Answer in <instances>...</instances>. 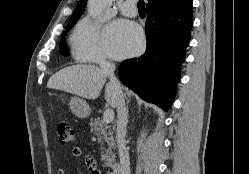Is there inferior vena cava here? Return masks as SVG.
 I'll use <instances>...</instances> for the list:
<instances>
[{
	"label": "inferior vena cava",
	"mask_w": 249,
	"mask_h": 174,
	"mask_svg": "<svg viewBox=\"0 0 249 174\" xmlns=\"http://www.w3.org/2000/svg\"><path fill=\"white\" fill-rule=\"evenodd\" d=\"M100 68L109 77L110 82L113 84L117 92L118 121L116 137L120 158V174H130L129 154L125 144L126 127L128 123V109L125 105V100L120 83L114 75L115 64L110 61L102 60L100 62Z\"/></svg>",
	"instance_id": "inferior-vena-cava-1"
}]
</instances>
